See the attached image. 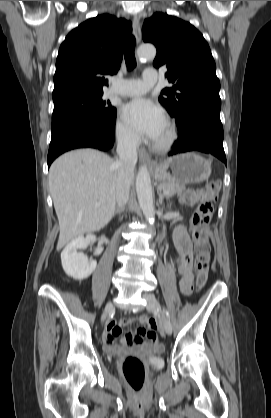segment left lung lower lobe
<instances>
[{
  "label": "left lung lower lobe",
  "mask_w": 271,
  "mask_h": 418,
  "mask_svg": "<svg viewBox=\"0 0 271 418\" xmlns=\"http://www.w3.org/2000/svg\"><path fill=\"white\" fill-rule=\"evenodd\" d=\"M176 124L179 128V138L169 155L200 151L212 154L226 164L219 112L197 111L178 118Z\"/></svg>",
  "instance_id": "obj_1"
}]
</instances>
